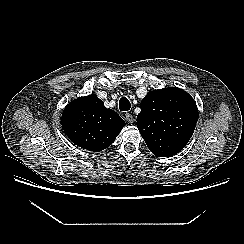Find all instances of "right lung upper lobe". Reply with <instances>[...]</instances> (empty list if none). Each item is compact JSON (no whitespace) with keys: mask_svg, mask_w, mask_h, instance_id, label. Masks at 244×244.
Segmentation results:
<instances>
[{"mask_svg":"<svg viewBox=\"0 0 244 244\" xmlns=\"http://www.w3.org/2000/svg\"><path fill=\"white\" fill-rule=\"evenodd\" d=\"M61 124L73 143L93 152L109 147L125 126L124 120L114 110L107 109L95 95L69 103L63 111Z\"/></svg>","mask_w":244,"mask_h":244,"instance_id":"1","label":"right lung upper lobe"}]
</instances>
